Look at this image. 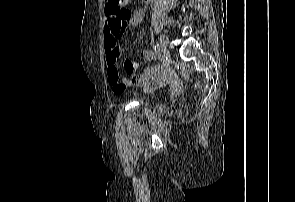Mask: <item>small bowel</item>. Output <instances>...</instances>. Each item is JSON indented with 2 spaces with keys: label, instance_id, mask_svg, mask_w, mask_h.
I'll return each instance as SVG.
<instances>
[{
  "label": "small bowel",
  "instance_id": "c3829d8e",
  "mask_svg": "<svg viewBox=\"0 0 295 202\" xmlns=\"http://www.w3.org/2000/svg\"><path fill=\"white\" fill-rule=\"evenodd\" d=\"M143 19V11L139 8L129 10V18L126 25L132 27L140 25ZM125 27L120 19L111 18L107 15L104 27V49L106 54L107 73L109 76L110 85L115 94L121 95L126 87H132L135 84L141 86L143 91L150 93L158 87L172 86L173 98H182L183 81H174L173 70L163 60L159 54L152 50L143 51V57L146 60H155L156 63L145 69L141 74H133V79H122L119 77L117 69V60L122 54V50L116 44L117 37L123 32ZM124 64L125 75H132L135 72V63H130L129 59H122Z\"/></svg>",
  "mask_w": 295,
  "mask_h": 202
}]
</instances>
